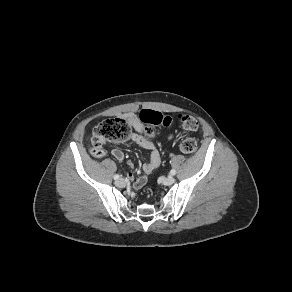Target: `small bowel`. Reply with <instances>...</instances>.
<instances>
[{
	"instance_id": "small-bowel-1",
	"label": "small bowel",
	"mask_w": 292,
	"mask_h": 292,
	"mask_svg": "<svg viewBox=\"0 0 292 292\" xmlns=\"http://www.w3.org/2000/svg\"><path fill=\"white\" fill-rule=\"evenodd\" d=\"M123 119H126L130 126L136 131L130 135V140L137 144L138 146L148 150L150 152V157L147 162L142 165L143 175L135 177L131 172L126 174V177L132 181L133 188L135 190L141 189L147 182L146 174L150 173L156 169L161 163V155L158 148L155 146L151 138L146 135L144 130V124L140 120L139 116L135 113H127L122 116ZM174 138V135L171 134L168 136V139L171 140ZM104 144V142H103ZM111 155L118 161H124V153L120 149H113ZM128 165L133 167V162L128 161Z\"/></svg>"
}]
</instances>
